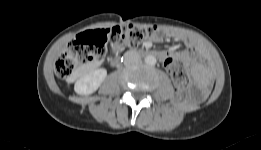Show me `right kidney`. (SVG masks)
<instances>
[{"instance_id": "right-kidney-1", "label": "right kidney", "mask_w": 261, "mask_h": 150, "mask_svg": "<svg viewBox=\"0 0 261 150\" xmlns=\"http://www.w3.org/2000/svg\"><path fill=\"white\" fill-rule=\"evenodd\" d=\"M107 76L104 68L91 71L76 81L74 90L79 95H89L94 93L102 84Z\"/></svg>"}]
</instances>
